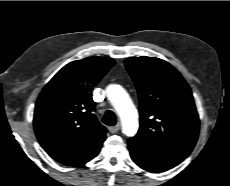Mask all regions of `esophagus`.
Wrapping results in <instances>:
<instances>
[{
  "label": "esophagus",
  "instance_id": "34e87169",
  "mask_svg": "<svg viewBox=\"0 0 230 186\" xmlns=\"http://www.w3.org/2000/svg\"><path fill=\"white\" fill-rule=\"evenodd\" d=\"M119 129H120V124H117L115 126L109 127L110 133H113V134L117 133L119 131Z\"/></svg>",
  "mask_w": 230,
  "mask_h": 186
}]
</instances>
